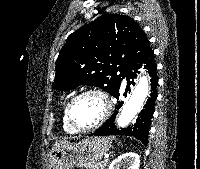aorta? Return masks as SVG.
<instances>
[{
  "label": "aorta",
  "mask_w": 200,
  "mask_h": 169,
  "mask_svg": "<svg viewBox=\"0 0 200 169\" xmlns=\"http://www.w3.org/2000/svg\"><path fill=\"white\" fill-rule=\"evenodd\" d=\"M149 87V78L146 75H142L139 78L130 99L123 106L122 111L117 118V125L120 128L126 127L143 108L144 102L149 93Z\"/></svg>",
  "instance_id": "obj_1"
}]
</instances>
